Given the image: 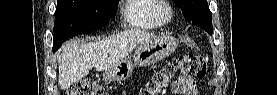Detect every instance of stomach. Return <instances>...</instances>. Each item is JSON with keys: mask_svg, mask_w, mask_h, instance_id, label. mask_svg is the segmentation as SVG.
I'll return each instance as SVG.
<instances>
[{"mask_svg": "<svg viewBox=\"0 0 277 95\" xmlns=\"http://www.w3.org/2000/svg\"><path fill=\"white\" fill-rule=\"evenodd\" d=\"M177 42L171 36H154L143 41L132 58H126L104 73V79L110 82L129 78L134 66H150L169 56L176 49Z\"/></svg>", "mask_w": 277, "mask_h": 95, "instance_id": "1", "label": "stomach"}]
</instances>
